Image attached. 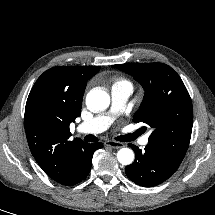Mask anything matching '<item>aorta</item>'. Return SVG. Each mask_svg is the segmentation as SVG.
I'll list each match as a JSON object with an SVG mask.
<instances>
[{
  "label": "aorta",
  "instance_id": "obj_1",
  "mask_svg": "<svg viewBox=\"0 0 215 215\" xmlns=\"http://www.w3.org/2000/svg\"><path fill=\"white\" fill-rule=\"evenodd\" d=\"M110 104L108 93L103 90L93 89L86 97V105L90 110H105ZM117 159L122 165H129L134 160V153L129 148H122L117 153Z\"/></svg>",
  "mask_w": 215,
  "mask_h": 215
}]
</instances>
